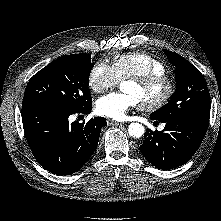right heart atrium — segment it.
<instances>
[{"label": "right heart atrium", "mask_w": 221, "mask_h": 221, "mask_svg": "<svg viewBox=\"0 0 221 221\" xmlns=\"http://www.w3.org/2000/svg\"><path fill=\"white\" fill-rule=\"evenodd\" d=\"M119 82L112 67L104 62H97L88 75V84L95 93H103Z\"/></svg>", "instance_id": "obj_1"}]
</instances>
